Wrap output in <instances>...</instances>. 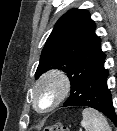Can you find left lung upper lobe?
I'll return each mask as SVG.
<instances>
[{"instance_id": "5c2ea615", "label": "left lung upper lobe", "mask_w": 117, "mask_h": 131, "mask_svg": "<svg viewBox=\"0 0 117 131\" xmlns=\"http://www.w3.org/2000/svg\"><path fill=\"white\" fill-rule=\"evenodd\" d=\"M95 29V22L86 10L65 13L45 43L35 77L49 69H61L70 79L71 90L81 87L106 57Z\"/></svg>"}]
</instances>
